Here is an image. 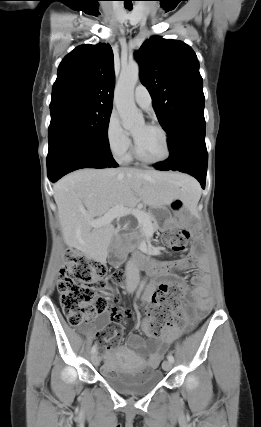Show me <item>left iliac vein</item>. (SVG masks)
Returning <instances> with one entry per match:
<instances>
[{
	"mask_svg": "<svg viewBox=\"0 0 261 427\" xmlns=\"http://www.w3.org/2000/svg\"><path fill=\"white\" fill-rule=\"evenodd\" d=\"M162 368H163V370H165V371H169V370L172 368V362H170L169 360H165V361L162 363Z\"/></svg>",
	"mask_w": 261,
	"mask_h": 427,
	"instance_id": "left-iliac-vein-1",
	"label": "left iliac vein"
}]
</instances>
